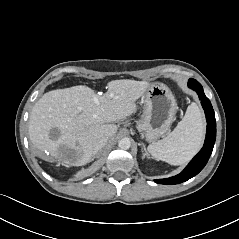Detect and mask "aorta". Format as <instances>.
<instances>
[{
    "mask_svg": "<svg viewBox=\"0 0 239 239\" xmlns=\"http://www.w3.org/2000/svg\"><path fill=\"white\" fill-rule=\"evenodd\" d=\"M131 146V141L129 138H123L118 142V147L122 150H128Z\"/></svg>",
    "mask_w": 239,
    "mask_h": 239,
    "instance_id": "1",
    "label": "aorta"
}]
</instances>
